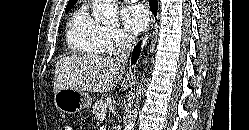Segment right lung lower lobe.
I'll use <instances>...</instances> for the list:
<instances>
[{"label": "right lung lower lobe", "mask_w": 249, "mask_h": 130, "mask_svg": "<svg viewBox=\"0 0 249 130\" xmlns=\"http://www.w3.org/2000/svg\"><path fill=\"white\" fill-rule=\"evenodd\" d=\"M149 5H150V8H151L152 12L156 16V14H157V5H158L157 0H150ZM140 46H141V42H139L138 45H136V47L133 49V55H132V59H131L132 64H135L136 61H137V58H138V55H139V52H140Z\"/></svg>", "instance_id": "1"}]
</instances>
